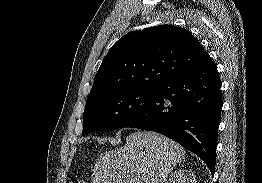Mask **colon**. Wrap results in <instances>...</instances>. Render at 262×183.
I'll return each mask as SVG.
<instances>
[{"label":"colon","mask_w":262,"mask_h":183,"mask_svg":"<svg viewBox=\"0 0 262 183\" xmlns=\"http://www.w3.org/2000/svg\"><path fill=\"white\" fill-rule=\"evenodd\" d=\"M72 183H86V181L83 179H75Z\"/></svg>","instance_id":"1"}]
</instances>
